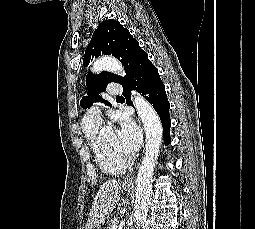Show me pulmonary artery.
<instances>
[{"instance_id": "e3ab8cb5", "label": "pulmonary artery", "mask_w": 255, "mask_h": 229, "mask_svg": "<svg viewBox=\"0 0 255 229\" xmlns=\"http://www.w3.org/2000/svg\"><path fill=\"white\" fill-rule=\"evenodd\" d=\"M122 93L121 86L117 84H111L108 88V94L110 96H117ZM103 123L101 112L98 105H94L84 116V126H101Z\"/></svg>"}]
</instances>
